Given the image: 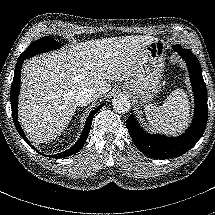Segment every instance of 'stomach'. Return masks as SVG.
<instances>
[{
	"label": "stomach",
	"instance_id": "1",
	"mask_svg": "<svg viewBox=\"0 0 215 215\" xmlns=\"http://www.w3.org/2000/svg\"><path fill=\"white\" fill-rule=\"evenodd\" d=\"M165 49V43L161 40L152 43L146 56L139 61L137 72L132 76V80L121 85L119 91L122 94L130 92V97L138 104L149 102L160 90Z\"/></svg>",
	"mask_w": 215,
	"mask_h": 215
}]
</instances>
